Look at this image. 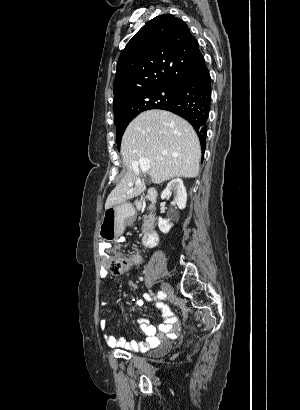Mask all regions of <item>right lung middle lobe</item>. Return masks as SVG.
<instances>
[{
	"label": "right lung middle lobe",
	"instance_id": "dd1d6c3e",
	"mask_svg": "<svg viewBox=\"0 0 300 410\" xmlns=\"http://www.w3.org/2000/svg\"><path fill=\"white\" fill-rule=\"evenodd\" d=\"M177 93L176 87L158 89L142 93L136 98L135 109L136 112L131 116H123L115 118L114 122L117 129V146L120 147L122 135L131 122L139 113L149 109H159L165 104H169Z\"/></svg>",
	"mask_w": 300,
	"mask_h": 410
}]
</instances>
